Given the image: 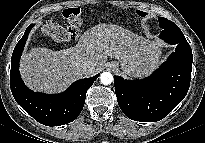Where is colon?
I'll list each match as a JSON object with an SVG mask.
<instances>
[{
  "label": "colon",
  "instance_id": "obj_1",
  "mask_svg": "<svg viewBox=\"0 0 205 143\" xmlns=\"http://www.w3.org/2000/svg\"><path fill=\"white\" fill-rule=\"evenodd\" d=\"M140 16H145L143 11L137 12ZM62 17L66 24L62 26L54 20L47 21L43 26V32L53 41L64 43L73 41L78 37L82 23L81 10L78 7H68L62 11Z\"/></svg>",
  "mask_w": 205,
  "mask_h": 143
}]
</instances>
